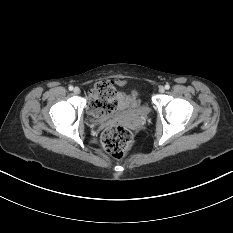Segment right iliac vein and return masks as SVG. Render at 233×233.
Returning a JSON list of instances; mask_svg holds the SVG:
<instances>
[{
  "label": "right iliac vein",
  "mask_w": 233,
  "mask_h": 233,
  "mask_svg": "<svg viewBox=\"0 0 233 233\" xmlns=\"http://www.w3.org/2000/svg\"><path fill=\"white\" fill-rule=\"evenodd\" d=\"M73 92H74L75 94H80L81 90H80V88L75 87L74 90H73Z\"/></svg>",
  "instance_id": "63e3f726"
}]
</instances>
